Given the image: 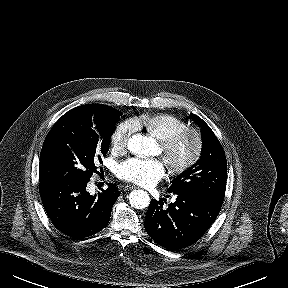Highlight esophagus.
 <instances>
[{"label": "esophagus", "mask_w": 288, "mask_h": 288, "mask_svg": "<svg viewBox=\"0 0 288 288\" xmlns=\"http://www.w3.org/2000/svg\"><path fill=\"white\" fill-rule=\"evenodd\" d=\"M135 187L134 186H131V185H127L123 188L124 191H129V190H132L134 189Z\"/></svg>", "instance_id": "1"}]
</instances>
